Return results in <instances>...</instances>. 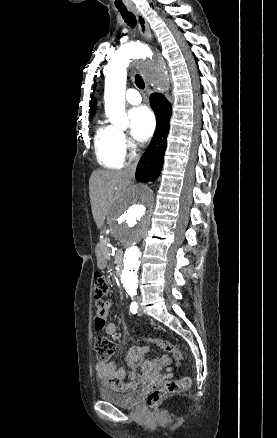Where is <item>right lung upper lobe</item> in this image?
Masks as SVG:
<instances>
[{
    "instance_id": "right-lung-upper-lobe-1",
    "label": "right lung upper lobe",
    "mask_w": 277,
    "mask_h": 438,
    "mask_svg": "<svg viewBox=\"0 0 277 438\" xmlns=\"http://www.w3.org/2000/svg\"><path fill=\"white\" fill-rule=\"evenodd\" d=\"M90 115L93 116L95 110H96V101L94 100V98H92L91 102H90Z\"/></svg>"
}]
</instances>
